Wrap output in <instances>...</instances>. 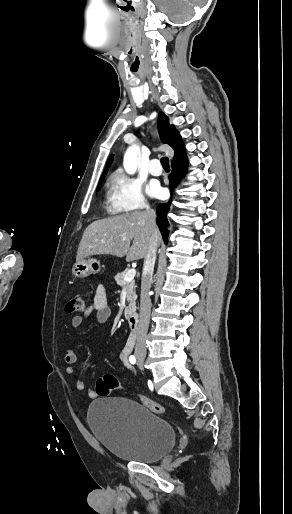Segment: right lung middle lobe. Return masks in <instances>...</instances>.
<instances>
[{
  "instance_id": "dd1d6c3e",
  "label": "right lung middle lobe",
  "mask_w": 292,
  "mask_h": 514,
  "mask_svg": "<svg viewBox=\"0 0 292 514\" xmlns=\"http://www.w3.org/2000/svg\"><path fill=\"white\" fill-rule=\"evenodd\" d=\"M101 182H102V181H100V182H99V185H98V190L100 189V185H101Z\"/></svg>"
}]
</instances>
